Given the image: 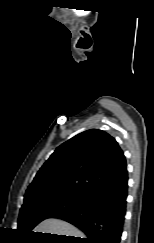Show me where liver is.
I'll list each match as a JSON object with an SVG mask.
<instances>
[{"label": "liver", "mask_w": 154, "mask_h": 243, "mask_svg": "<svg viewBox=\"0 0 154 243\" xmlns=\"http://www.w3.org/2000/svg\"><path fill=\"white\" fill-rule=\"evenodd\" d=\"M34 231L84 238V234L76 227L69 224L68 222L54 218H49L42 221L38 226H36Z\"/></svg>", "instance_id": "liver-1"}]
</instances>
